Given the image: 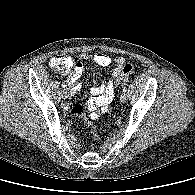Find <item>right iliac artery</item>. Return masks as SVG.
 Instances as JSON below:
<instances>
[{
	"mask_svg": "<svg viewBox=\"0 0 195 195\" xmlns=\"http://www.w3.org/2000/svg\"><path fill=\"white\" fill-rule=\"evenodd\" d=\"M62 86H63V88H65L66 85L64 84V85H62Z\"/></svg>",
	"mask_w": 195,
	"mask_h": 195,
	"instance_id": "1",
	"label": "right iliac artery"
}]
</instances>
